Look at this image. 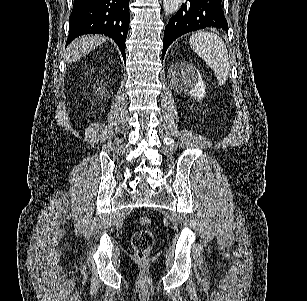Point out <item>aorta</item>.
I'll use <instances>...</instances> for the list:
<instances>
[{
  "label": "aorta",
  "instance_id": "762f6f07",
  "mask_svg": "<svg viewBox=\"0 0 307 301\" xmlns=\"http://www.w3.org/2000/svg\"><path fill=\"white\" fill-rule=\"evenodd\" d=\"M182 4V0H163V8L166 14L177 12Z\"/></svg>",
  "mask_w": 307,
  "mask_h": 301
}]
</instances>
